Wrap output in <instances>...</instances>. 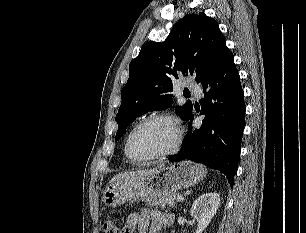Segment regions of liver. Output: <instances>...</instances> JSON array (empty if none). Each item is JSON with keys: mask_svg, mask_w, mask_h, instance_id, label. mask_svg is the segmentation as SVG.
Masks as SVG:
<instances>
[{"mask_svg": "<svg viewBox=\"0 0 306 233\" xmlns=\"http://www.w3.org/2000/svg\"><path fill=\"white\" fill-rule=\"evenodd\" d=\"M161 167V166H160ZM155 169H150V170H137V171H130V172H124V173H119L117 174L116 176H114L109 183H112V182H117V181H120V180H124V179H129V178H133V177H136L140 174H144V173H148V172H151Z\"/></svg>", "mask_w": 306, "mask_h": 233, "instance_id": "obj_1", "label": "liver"}]
</instances>
